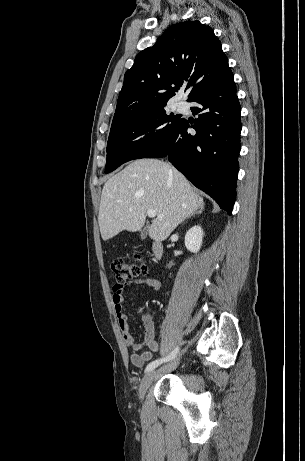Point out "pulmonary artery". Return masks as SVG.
Returning <instances> with one entry per match:
<instances>
[{
	"instance_id": "pulmonary-artery-1",
	"label": "pulmonary artery",
	"mask_w": 305,
	"mask_h": 461,
	"mask_svg": "<svg viewBox=\"0 0 305 461\" xmlns=\"http://www.w3.org/2000/svg\"><path fill=\"white\" fill-rule=\"evenodd\" d=\"M177 109L183 111L186 109V103L184 101H180L177 103Z\"/></svg>"
}]
</instances>
